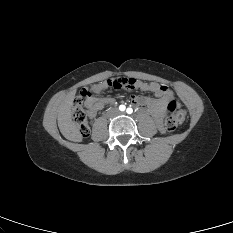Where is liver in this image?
<instances>
[{"label":"liver","instance_id":"liver-1","mask_svg":"<svg viewBox=\"0 0 233 233\" xmlns=\"http://www.w3.org/2000/svg\"><path fill=\"white\" fill-rule=\"evenodd\" d=\"M76 91L69 92L58 108V127L62 135L67 139H73L74 135L78 133L75 123L72 121V106Z\"/></svg>","mask_w":233,"mask_h":233}]
</instances>
